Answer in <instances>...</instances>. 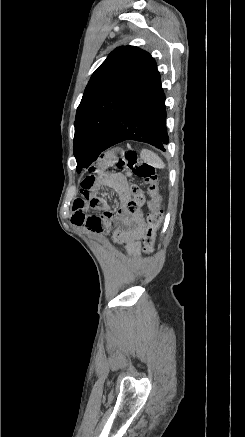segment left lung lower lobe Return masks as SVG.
Instances as JSON below:
<instances>
[{"label":"left lung lower lobe","instance_id":"left-lung-lower-lobe-1","mask_svg":"<svg viewBox=\"0 0 245 437\" xmlns=\"http://www.w3.org/2000/svg\"><path fill=\"white\" fill-rule=\"evenodd\" d=\"M124 140L146 142L166 151L165 94L156 64L121 111L102 151Z\"/></svg>","mask_w":245,"mask_h":437}]
</instances>
